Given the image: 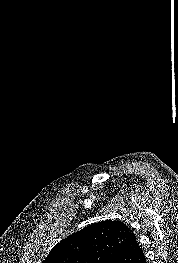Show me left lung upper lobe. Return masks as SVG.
<instances>
[{"mask_svg": "<svg viewBox=\"0 0 178 263\" xmlns=\"http://www.w3.org/2000/svg\"><path fill=\"white\" fill-rule=\"evenodd\" d=\"M130 233L120 221L94 223L56 244L42 263H109Z\"/></svg>", "mask_w": 178, "mask_h": 263, "instance_id": "left-lung-upper-lobe-1", "label": "left lung upper lobe"}]
</instances>
